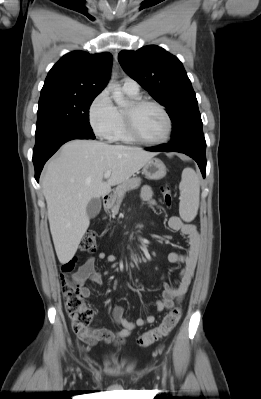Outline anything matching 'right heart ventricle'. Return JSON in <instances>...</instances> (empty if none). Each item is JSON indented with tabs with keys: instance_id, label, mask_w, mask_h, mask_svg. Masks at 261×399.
<instances>
[{
	"instance_id": "right-heart-ventricle-1",
	"label": "right heart ventricle",
	"mask_w": 261,
	"mask_h": 399,
	"mask_svg": "<svg viewBox=\"0 0 261 399\" xmlns=\"http://www.w3.org/2000/svg\"><path fill=\"white\" fill-rule=\"evenodd\" d=\"M128 96L132 99L138 98V93L133 94V93H128ZM117 114H118V123L116 130L113 135V139L123 141V142H131L133 141L126 133L125 127H124V120H123V110L117 109Z\"/></svg>"
}]
</instances>
